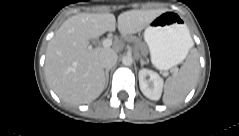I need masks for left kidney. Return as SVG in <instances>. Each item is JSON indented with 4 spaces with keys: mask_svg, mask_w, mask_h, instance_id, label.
<instances>
[{
    "mask_svg": "<svg viewBox=\"0 0 239 136\" xmlns=\"http://www.w3.org/2000/svg\"><path fill=\"white\" fill-rule=\"evenodd\" d=\"M163 79L157 72L149 69L139 71V86L141 92L151 100H159L163 89Z\"/></svg>",
    "mask_w": 239,
    "mask_h": 136,
    "instance_id": "left-kidney-1",
    "label": "left kidney"
}]
</instances>
